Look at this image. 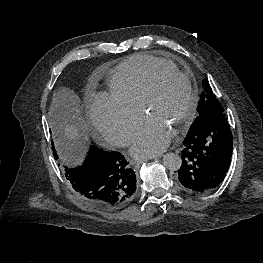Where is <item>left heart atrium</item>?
Masks as SVG:
<instances>
[{"label":"left heart atrium","instance_id":"obj_1","mask_svg":"<svg viewBox=\"0 0 263 263\" xmlns=\"http://www.w3.org/2000/svg\"><path fill=\"white\" fill-rule=\"evenodd\" d=\"M171 138L172 133L162 123L147 117L134 137L131 152L137 158L159 154L168 146Z\"/></svg>","mask_w":263,"mask_h":263}]
</instances>
